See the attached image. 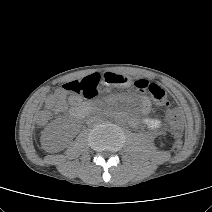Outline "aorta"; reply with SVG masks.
Wrapping results in <instances>:
<instances>
[{
  "mask_svg": "<svg viewBox=\"0 0 212 212\" xmlns=\"http://www.w3.org/2000/svg\"><path fill=\"white\" fill-rule=\"evenodd\" d=\"M117 121H120V118H117Z\"/></svg>",
  "mask_w": 212,
  "mask_h": 212,
  "instance_id": "1",
  "label": "aorta"
}]
</instances>
